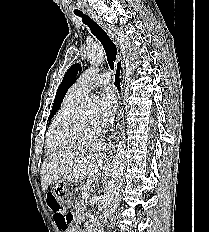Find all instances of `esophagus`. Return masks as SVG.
Instances as JSON below:
<instances>
[{"instance_id": "esophagus-1", "label": "esophagus", "mask_w": 209, "mask_h": 232, "mask_svg": "<svg viewBox=\"0 0 209 232\" xmlns=\"http://www.w3.org/2000/svg\"><path fill=\"white\" fill-rule=\"evenodd\" d=\"M86 13L94 20L96 21L100 26H102L106 32L109 34V36L114 39V35L111 32V30L106 26V24L102 21V19L91 9H87ZM118 77L120 79V83L118 82ZM114 83L115 86L119 90V98L122 97V91H123V64L121 62L120 57L117 58L116 65H115V75H114Z\"/></svg>"}]
</instances>
